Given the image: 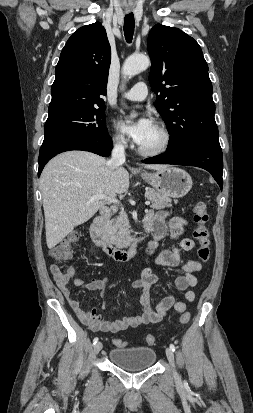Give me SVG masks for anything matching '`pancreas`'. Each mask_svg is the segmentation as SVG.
<instances>
[{"label":"pancreas","mask_w":253,"mask_h":413,"mask_svg":"<svg viewBox=\"0 0 253 413\" xmlns=\"http://www.w3.org/2000/svg\"><path fill=\"white\" fill-rule=\"evenodd\" d=\"M145 197L152 202L153 209L159 210L172 206L171 198L154 189L146 188ZM105 230L116 247H124L131 232L127 214L120 211L118 217L106 223Z\"/></svg>","instance_id":"cf45deb5"}]
</instances>
